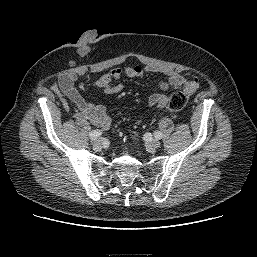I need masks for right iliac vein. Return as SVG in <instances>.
Wrapping results in <instances>:
<instances>
[{
	"instance_id": "1",
	"label": "right iliac vein",
	"mask_w": 257,
	"mask_h": 257,
	"mask_svg": "<svg viewBox=\"0 0 257 257\" xmlns=\"http://www.w3.org/2000/svg\"><path fill=\"white\" fill-rule=\"evenodd\" d=\"M92 145H93L94 147H96V148L101 147V145H102V140H101V139H94V140H92Z\"/></svg>"
}]
</instances>
